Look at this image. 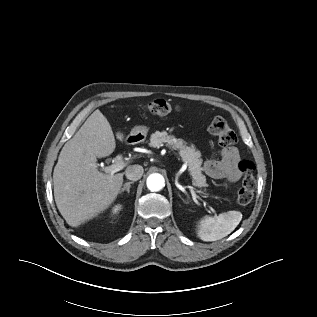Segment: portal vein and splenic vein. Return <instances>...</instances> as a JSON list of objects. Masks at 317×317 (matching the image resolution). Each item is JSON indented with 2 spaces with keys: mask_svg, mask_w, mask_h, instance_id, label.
I'll return each mask as SVG.
<instances>
[{
  "mask_svg": "<svg viewBox=\"0 0 317 317\" xmlns=\"http://www.w3.org/2000/svg\"><path fill=\"white\" fill-rule=\"evenodd\" d=\"M126 166V163L122 160V156L118 155L115 158V163L110 165L109 167H106V171L110 172L111 174H114L116 172H119ZM191 188L192 191V196L193 198H199L196 194L195 191H193V188ZM204 206L209 209V213L213 214L215 217H217V211L210 205H208L206 202H203Z\"/></svg>",
  "mask_w": 317,
  "mask_h": 317,
  "instance_id": "1",
  "label": "portal vein and splenic vein"
}]
</instances>
